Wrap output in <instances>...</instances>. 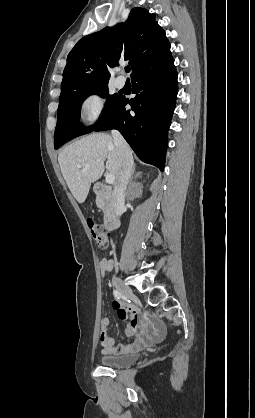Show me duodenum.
Segmentation results:
<instances>
[{"label":"duodenum","instance_id":"410a0bca","mask_svg":"<svg viewBox=\"0 0 255 418\" xmlns=\"http://www.w3.org/2000/svg\"><path fill=\"white\" fill-rule=\"evenodd\" d=\"M94 192L105 201L104 226L108 231H114L120 226V206L118 205L111 186L96 183Z\"/></svg>","mask_w":255,"mask_h":418}]
</instances>
